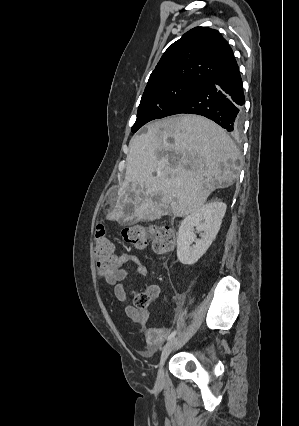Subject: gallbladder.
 Returning <instances> with one entry per match:
<instances>
[{
  "instance_id": "gallbladder-1",
  "label": "gallbladder",
  "mask_w": 299,
  "mask_h": 426,
  "mask_svg": "<svg viewBox=\"0 0 299 426\" xmlns=\"http://www.w3.org/2000/svg\"><path fill=\"white\" fill-rule=\"evenodd\" d=\"M125 216H131L134 213V206L132 204H127L124 208Z\"/></svg>"
}]
</instances>
